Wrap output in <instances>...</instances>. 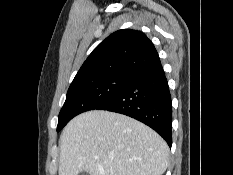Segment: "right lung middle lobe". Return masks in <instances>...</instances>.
I'll list each match as a JSON object with an SVG mask.
<instances>
[{
  "mask_svg": "<svg viewBox=\"0 0 233 175\" xmlns=\"http://www.w3.org/2000/svg\"><path fill=\"white\" fill-rule=\"evenodd\" d=\"M131 79L128 75L108 74L71 83L59 113L57 131L76 115L94 110L113 98Z\"/></svg>",
  "mask_w": 233,
  "mask_h": 175,
  "instance_id": "right-lung-middle-lobe-1",
  "label": "right lung middle lobe"
}]
</instances>
